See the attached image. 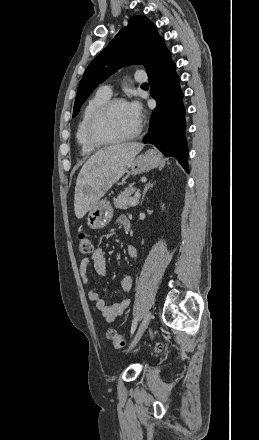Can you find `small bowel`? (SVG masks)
<instances>
[{
	"instance_id": "c3829d8e",
	"label": "small bowel",
	"mask_w": 259,
	"mask_h": 440,
	"mask_svg": "<svg viewBox=\"0 0 259 440\" xmlns=\"http://www.w3.org/2000/svg\"><path fill=\"white\" fill-rule=\"evenodd\" d=\"M117 222L118 224L126 228L129 220L125 216H120L117 219ZM126 254L129 258L134 259L137 256V250L133 245L128 244L126 246ZM90 267H93V269L99 276L106 275L107 264L103 250L101 248H96L90 258H84L80 262L79 274L83 284L85 285L89 283L88 271ZM132 285L133 278L130 275L124 276L121 281L122 290L124 292H129ZM88 297L92 302L95 303L97 311L102 314L106 322H113L117 317L121 316L130 306V301L128 299H124L120 303L107 305L106 302L100 297L98 289L95 286L89 289Z\"/></svg>"
}]
</instances>
